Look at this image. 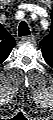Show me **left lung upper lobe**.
I'll return each instance as SVG.
<instances>
[{"label": "left lung upper lobe", "mask_w": 53, "mask_h": 120, "mask_svg": "<svg viewBox=\"0 0 53 120\" xmlns=\"http://www.w3.org/2000/svg\"><path fill=\"white\" fill-rule=\"evenodd\" d=\"M53 30L51 29V33L44 37V39L40 42L42 46L43 57L45 61L49 64H53Z\"/></svg>", "instance_id": "5c2ea615"}]
</instances>
